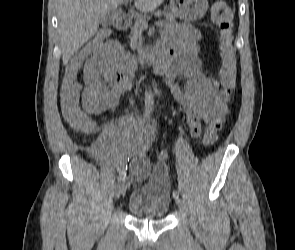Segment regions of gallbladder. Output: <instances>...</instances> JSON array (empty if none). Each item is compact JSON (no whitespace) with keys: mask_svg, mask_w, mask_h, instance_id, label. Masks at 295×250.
Returning a JSON list of instances; mask_svg holds the SVG:
<instances>
[{"mask_svg":"<svg viewBox=\"0 0 295 250\" xmlns=\"http://www.w3.org/2000/svg\"><path fill=\"white\" fill-rule=\"evenodd\" d=\"M113 18V13L112 12H108L107 15L104 17V19L101 21V24L106 27L108 26Z\"/></svg>","mask_w":295,"mask_h":250,"instance_id":"bac80fb5","label":"gallbladder"}]
</instances>
